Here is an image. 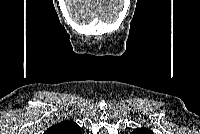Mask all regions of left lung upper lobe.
Returning <instances> with one entry per match:
<instances>
[{
    "mask_svg": "<svg viewBox=\"0 0 200 134\" xmlns=\"http://www.w3.org/2000/svg\"><path fill=\"white\" fill-rule=\"evenodd\" d=\"M132 134H152V132L145 128H137L132 132Z\"/></svg>",
    "mask_w": 200,
    "mask_h": 134,
    "instance_id": "obj_1",
    "label": "left lung upper lobe"
}]
</instances>
